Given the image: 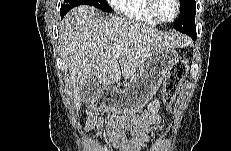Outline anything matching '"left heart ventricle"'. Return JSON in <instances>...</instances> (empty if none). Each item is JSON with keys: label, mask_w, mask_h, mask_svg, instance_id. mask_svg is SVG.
<instances>
[{"label": "left heart ventricle", "mask_w": 231, "mask_h": 151, "mask_svg": "<svg viewBox=\"0 0 231 151\" xmlns=\"http://www.w3.org/2000/svg\"><path fill=\"white\" fill-rule=\"evenodd\" d=\"M157 12L162 18L171 19L176 12L174 0H157Z\"/></svg>", "instance_id": "b2bd125f"}]
</instances>
